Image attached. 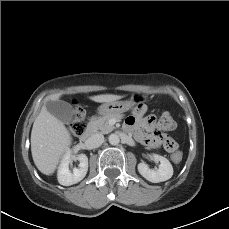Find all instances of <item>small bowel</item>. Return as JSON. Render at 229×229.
I'll return each mask as SVG.
<instances>
[{"label":"small bowel","instance_id":"small-bowel-1","mask_svg":"<svg viewBox=\"0 0 229 229\" xmlns=\"http://www.w3.org/2000/svg\"><path fill=\"white\" fill-rule=\"evenodd\" d=\"M147 107L145 105L135 108L131 115L125 121V129L133 134L134 138L140 144L156 149L161 146V141L157 135L153 134V131L160 129V122L153 115H146ZM163 117L171 118L168 113H165ZM162 117V118H163ZM173 128L166 131H172L175 128V123L172 120Z\"/></svg>","mask_w":229,"mask_h":229}]
</instances>
